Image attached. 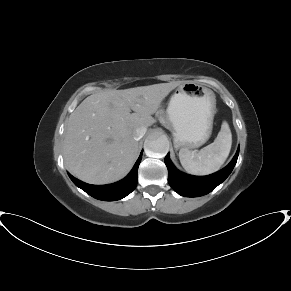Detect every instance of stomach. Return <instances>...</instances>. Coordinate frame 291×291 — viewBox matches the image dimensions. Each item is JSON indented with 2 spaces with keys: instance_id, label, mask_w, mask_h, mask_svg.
<instances>
[{
  "instance_id": "obj_1",
  "label": "stomach",
  "mask_w": 291,
  "mask_h": 291,
  "mask_svg": "<svg viewBox=\"0 0 291 291\" xmlns=\"http://www.w3.org/2000/svg\"><path fill=\"white\" fill-rule=\"evenodd\" d=\"M216 113L214 92L195 82L178 85L167 107V123L173 130L176 148L202 146L211 136Z\"/></svg>"
}]
</instances>
